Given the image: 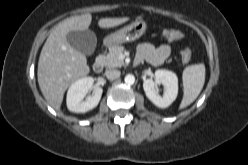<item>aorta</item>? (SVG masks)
Wrapping results in <instances>:
<instances>
[{
    "instance_id": "aorta-1",
    "label": "aorta",
    "mask_w": 248,
    "mask_h": 165,
    "mask_svg": "<svg viewBox=\"0 0 248 165\" xmlns=\"http://www.w3.org/2000/svg\"><path fill=\"white\" fill-rule=\"evenodd\" d=\"M124 81L127 85H133L135 82V77L131 74L125 76Z\"/></svg>"
}]
</instances>
